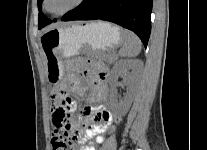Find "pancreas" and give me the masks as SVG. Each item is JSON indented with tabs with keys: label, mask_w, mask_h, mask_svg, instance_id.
<instances>
[{
	"label": "pancreas",
	"mask_w": 207,
	"mask_h": 150,
	"mask_svg": "<svg viewBox=\"0 0 207 150\" xmlns=\"http://www.w3.org/2000/svg\"><path fill=\"white\" fill-rule=\"evenodd\" d=\"M99 59L112 64L116 59V54L114 52L103 53L98 56Z\"/></svg>",
	"instance_id": "pancreas-1"
}]
</instances>
